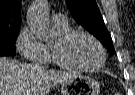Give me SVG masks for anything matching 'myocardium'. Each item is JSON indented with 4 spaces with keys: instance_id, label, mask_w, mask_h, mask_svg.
<instances>
[{
    "instance_id": "1",
    "label": "myocardium",
    "mask_w": 135,
    "mask_h": 95,
    "mask_svg": "<svg viewBox=\"0 0 135 95\" xmlns=\"http://www.w3.org/2000/svg\"><path fill=\"white\" fill-rule=\"evenodd\" d=\"M79 35L88 37L96 44L101 54V61L99 64L94 66H84V65L73 63L67 58H65L62 52V46L67 45L69 42H71L75 37ZM52 52L55 61L60 66L65 68L77 69L82 71H96L102 68L106 62V51L103 44L94 35L84 30H70L65 34L60 35V37L58 38V44L52 46Z\"/></svg>"
}]
</instances>
